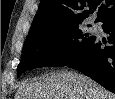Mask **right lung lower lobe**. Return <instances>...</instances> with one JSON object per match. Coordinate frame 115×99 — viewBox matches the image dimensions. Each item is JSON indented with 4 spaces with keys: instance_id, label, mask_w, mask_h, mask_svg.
<instances>
[{
    "instance_id": "98d812e1",
    "label": "right lung lower lobe",
    "mask_w": 115,
    "mask_h": 99,
    "mask_svg": "<svg viewBox=\"0 0 115 99\" xmlns=\"http://www.w3.org/2000/svg\"><path fill=\"white\" fill-rule=\"evenodd\" d=\"M107 37H94L81 54L68 67L76 69L92 78L115 94V11L100 20ZM102 43H108L101 47Z\"/></svg>"
}]
</instances>
